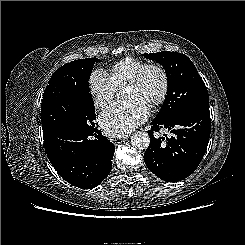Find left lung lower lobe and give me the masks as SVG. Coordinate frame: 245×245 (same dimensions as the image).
I'll use <instances>...</instances> for the list:
<instances>
[{
  "label": "left lung lower lobe",
  "mask_w": 245,
  "mask_h": 245,
  "mask_svg": "<svg viewBox=\"0 0 245 245\" xmlns=\"http://www.w3.org/2000/svg\"><path fill=\"white\" fill-rule=\"evenodd\" d=\"M150 124V145L144 154L148 169L167 182L187 178L198 167L208 146L209 104L191 106L169 121L153 120ZM162 127L170 130L173 136L155 138L153 132Z\"/></svg>",
  "instance_id": "1"
}]
</instances>
